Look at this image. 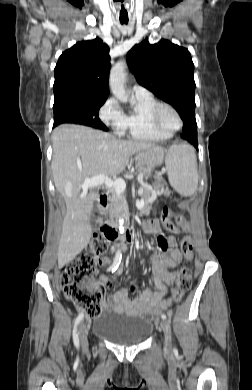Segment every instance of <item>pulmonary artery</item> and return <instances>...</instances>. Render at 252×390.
Here are the masks:
<instances>
[{
    "label": "pulmonary artery",
    "mask_w": 252,
    "mask_h": 390,
    "mask_svg": "<svg viewBox=\"0 0 252 390\" xmlns=\"http://www.w3.org/2000/svg\"><path fill=\"white\" fill-rule=\"evenodd\" d=\"M132 93L136 97H147L150 95V92L145 87L138 84L132 87Z\"/></svg>",
    "instance_id": "pulmonary-artery-1"
}]
</instances>
